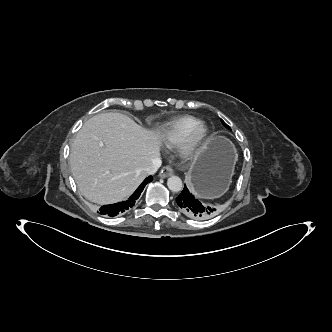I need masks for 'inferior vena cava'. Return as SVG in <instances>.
Masks as SVG:
<instances>
[{
    "label": "inferior vena cava",
    "instance_id": "1",
    "mask_svg": "<svg viewBox=\"0 0 332 332\" xmlns=\"http://www.w3.org/2000/svg\"><path fill=\"white\" fill-rule=\"evenodd\" d=\"M162 164V160L160 157H156L155 159L152 160L151 164L145 168V172L147 175H152L157 172L159 167Z\"/></svg>",
    "mask_w": 332,
    "mask_h": 332
}]
</instances>
